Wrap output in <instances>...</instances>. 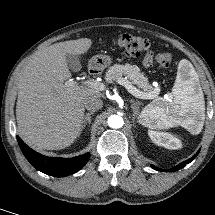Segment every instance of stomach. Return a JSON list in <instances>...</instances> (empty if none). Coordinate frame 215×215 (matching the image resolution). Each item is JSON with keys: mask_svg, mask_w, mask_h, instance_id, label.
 Here are the masks:
<instances>
[{"mask_svg": "<svg viewBox=\"0 0 215 215\" xmlns=\"http://www.w3.org/2000/svg\"><path fill=\"white\" fill-rule=\"evenodd\" d=\"M111 58L107 55H95L90 60V65L93 66L97 70H103L111 64ZM139 122L147 126V124L139 118Z\"/></svg>", "mask_w": 215, "mask_h": 215, "instance_id": "1", "label": "stomach"}]
</instances>
